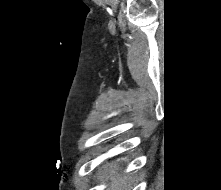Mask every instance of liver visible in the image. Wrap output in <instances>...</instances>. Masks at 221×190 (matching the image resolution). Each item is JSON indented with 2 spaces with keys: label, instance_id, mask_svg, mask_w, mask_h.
I'll list each match as a JSON object with an SVG mask.
<instances>
[{
  "label": "liver",
  "instance_id": "1",
  "mask_svg": "<svg viewBox=\"0 0 221 190\" xmlns=\"http://www.w3.org/2000/svg\"><path fill=\"white\" fill-rule=\"evenodd\" d=\"M102 168L104 169V172L100 179L102 181H111L108 190H131L129 187L130 176L127 175L116 178L118 168L111 163H107Z\"/></svg>",
  "mask_w": 221,
  "mask_h": 190
}]
</instances>
